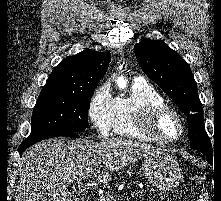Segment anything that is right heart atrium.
<instances>
[{
    "label": "right heart atrium",
    "mask_w": 221,
    "mask_h": 201,
    "mask_svg": "<svg viewBox=\"0 0 221 201\" xmlns=\"http://www.w3.org/2000/svg\"><path fill=\"white\" fill-rule=\"evenodd\" d=\"M88 117L102 136H108L113 129L115 98L109 83L101 84L93 93L88 105Z\"/></svg>",
    "instance_id": "d8ad5b80"
}]
</instances>
